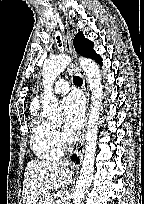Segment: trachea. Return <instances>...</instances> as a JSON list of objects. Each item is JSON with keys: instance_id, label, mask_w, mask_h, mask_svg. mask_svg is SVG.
<instances>
[{"instance_id": "obj_1", "label": "trachea", "mask_w": 144, "mask_h": 204, "mask_svg": "<svg viewBox=\"0 0 144 204\" xmlns=\"http://www.w3.org/2000/svg\"><path fill=\"white\" fill-rule=\"evenodd\" d=\"M57 40H58L59 46H62L61 41H60V36H57ZM73 82H74L75 84L80 85V84H82L83 81H82V79H81L80 77L74 76V77H73Z\"/></svg>"}]
</instances>
